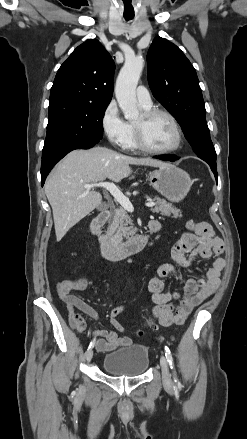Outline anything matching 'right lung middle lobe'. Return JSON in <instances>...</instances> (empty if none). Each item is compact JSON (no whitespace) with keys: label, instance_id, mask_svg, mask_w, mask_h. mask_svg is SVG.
<instances>
[{"label":"right lung middle lobe","instance_id":"right-lung-middle-lobe-1","mask_svg":"<svg viewBox=\"0 0 247 439\" xmlns=\"http://www.w3.org/2000/svg\"><path fill=\"white\" fill-rule=\"evenodd\" d=\"M107 104L64 101L49 105L42 157L71 147L97 144L103 136Z\"/></svg>","mask_w":247,"mask_h":439}]
</instances>
